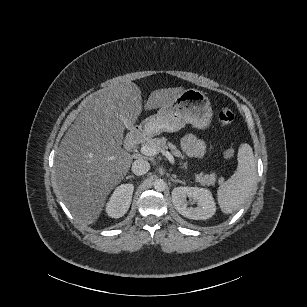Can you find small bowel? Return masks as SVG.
Listing matches in <instances>:
<instances>
[{
    "mask_svg": "<svg viewBox=\"0 0 307 307\" xmlns=\"http://www.w3.org/2000/svg\"><path fill=\"white\" fill-rule=\"evenodd\" d=\"M182 148L189 157L199 158L204 154V144L195 135L188 134L182 139Z\"/></svg>",
    "mask_w": 307,
    "mask_h": 307,
    "instance_id": "obj_1",
    "label": "small bowel"
}]
</instances>
